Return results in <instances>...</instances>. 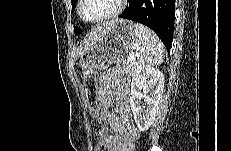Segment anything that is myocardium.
Masks as SVG:
<instances>
[{"label":"myocardium","instance_id":"f54148a6","mask_svg":"<svg viewBox=\"0 0 231 151\" xmlns=\"http://www.w3.org/2000/svg\"><path fill=\"white\" fill-rule=\"evenodd\" d=\"M85 1L86 0H80L79 1L78 14L83 21H85L87 23H93V24L102 23V22L108 21L110 19H113V18L119 16L121 14V12L123 11L125 4L127 2V0H118L116 8L112 12H110L104 16L95 18V19H87L83 13Z\"/></svg>","mask_w":231,"mask_h":151}]
</instances>
